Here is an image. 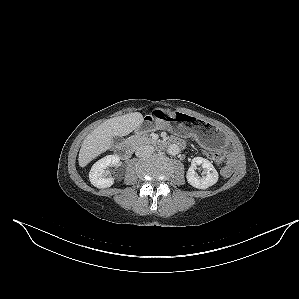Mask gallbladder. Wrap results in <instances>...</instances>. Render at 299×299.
<instances>
[{"label": "gallbladder", "instance_id": "bac80fb5", "mask_svg": "<svg viewBox=\"0 0 299 299\" xmlns=\"http://www.w3.org/2000/svg\"><path fill=\"white\" fill-rule=\"evenodd\" d=\"M122 140H123V139H122V137H120V136H114V137L112 138L113 143H120Z\"/></svg>", "mask_w": 299, "mask_h": 299}]
</instances>
